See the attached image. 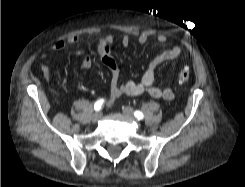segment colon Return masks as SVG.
Here are the masks:
<instances>
[{
	"instance_id": "5ec220e1",
	"label": "colon",
	"mask_w": 245,
	"mask_h": 187,
	"mask_svg": "<svg viewBox=\"0 0 245 187\" xmlns=\"http://www.w3.org/2000/svg\"><path fill=\"white\" fill-rule=\"evenodd\" d=\"M190 77V70L188 67L184 66L180 68L178 72V81L181 85H184L187 83Z\"/></svg>"
}]
</instances>
